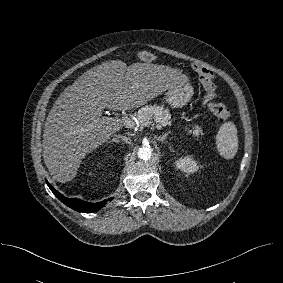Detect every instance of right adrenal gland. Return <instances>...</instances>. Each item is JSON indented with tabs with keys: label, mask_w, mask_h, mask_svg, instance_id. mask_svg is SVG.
I'll use <instances>...</instances> for the list:
<instances>
[{
	"label": "right adrenal gland",
	"mask_w": 283,
	"mask_h": 283,
	"mask_svg": "<svg viewBox=\"0 0 283 283\" xmlns=\"http://www.w3.org/2000/svg\"><path fill=\"white\" fill-rule=\"evenodd\" d=\"M111 142H120L119 140H117L116 138H114V139H112V140H110V141H108V143H111Z\"/></svg>",
	"instance_id": "right-adrenal-gland-1"
}]
</instances>
